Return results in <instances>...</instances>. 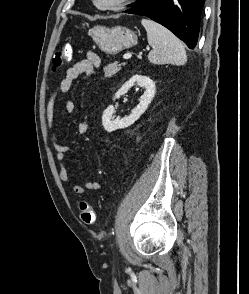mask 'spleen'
Masks as SVG:
<instances>
[{
	"instance_id": "spleen-1",
	"label": "spleen",
	"mask_w": 249,
	"mask_h": 294,
	"mask_svg": "<svg viewBox=\"0 0 249 294\" xmlns=\"http://www.w3.org/2000/svg\"><path fill=\"white\" fill-rule=\"evenodd\" d=\"M149 45L153 48L148 59L153 64L184 65L186 51L179 39L167 28L150 19H142Z\"/></svg>"
}]
</instances>
